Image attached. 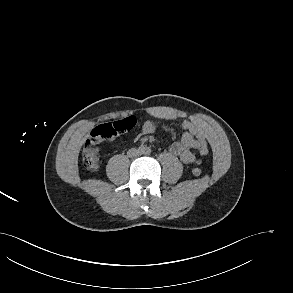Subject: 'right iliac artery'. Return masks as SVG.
I'll return each mask as SVG.
<instances>
[{
  "mask_svg": "<svg viewBox=\"0 0 293 293\" xmlns=\"http://www.w3.org/2000/svg\"><path fill=\"white\" fill-rule=\"evenodd\" d=\"M138 150H139L140 152H144V150H145V146H144V145H141V146L138 148Z\"/></svg>",
  "mask_w": 293,
  "mask_h": 293,
  "instance_id": "right-iliac-artery-1",
  "label": "right iliac artery"
}]
</instances>
